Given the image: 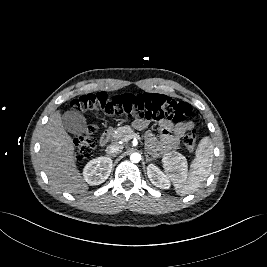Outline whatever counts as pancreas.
I'll use <instances>...</instances> for the list:
<instances>
[{
	"label": "pancreas",
	"mask_w": 267,
	"mask_h": 267,
	"mask_svg": "<svg viewBox=\"0 0 267 267\" xmlns=\"http://www.w3.org/2000/svg\"><path fill=\"white\" fill-rule=\"evenodd\" d=\"M126 135H133V136H137L139 138V135L137 133H135L134 130L128 125L118 127L116 130L112 131V137L116 140H119V141L124 142V138ZM175 155H176V152H170V153L166 154L165 158L166 159H173L175 157Z\"/></svg>",
	"instance_id": "cf45deb5"
}]
</instances>
